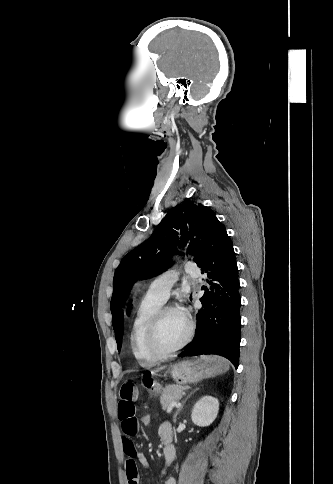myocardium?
Masks as SVG:
<instances>
[{
    "label": "myocardium",
    "instance_id": "f54148a6",
    "mask_svg": "<svg viewBox=\"0 0 333 484\" xmlns=\"http://www.w3.org/2000/svg\"><path fill=\"white\" fill-rule=\"evenodd\" d=\"M170 311H178L176 308L171 306L160 307L153 317L151 318L147 331H146V346L148 351L155 357L159 359H164L173 356L180 350H182L192 339L194 333V324L188 319V332L183 341L176 347L166 350L163 349L159 344V328L164 315Z\"/></svg>",
    "mask_w": 333,
    "mask_h": 484
}]
</instances>
